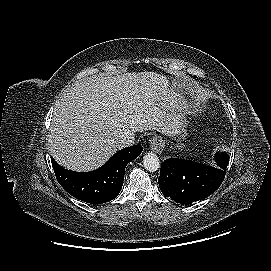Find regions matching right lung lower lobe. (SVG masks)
Returning a JSON list of instances; mask_svg holds the SVG:
<instances>
[{"mask_svg": "<svg viewBox=\"0 0 271 271\" xmlns=\"http://www.w3.org/2000/svg\"><path fill=\"white\" fill-rule=\"evenodd\" d=\"M142 150L138 145L124 148L92 172L66 170L53 158L51 162L58 182L69 194L86 203L100 204L117 197L123 186L126 165Z\"/></svg>", "mask_w": 271, "mask_h": 271, "instance_id": "98d812e1", "label": "right lung lower lobe"}]
</instances>
